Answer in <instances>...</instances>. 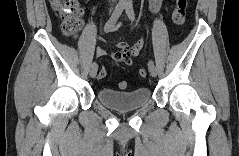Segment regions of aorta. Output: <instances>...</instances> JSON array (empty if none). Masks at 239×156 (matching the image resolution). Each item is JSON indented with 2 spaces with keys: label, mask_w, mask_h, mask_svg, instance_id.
Here are the masks:
<instances>
[{
  "label": "aorta",
  "mask_w": 239,
  "mask_h": 156,
  "mask_svg": "<svg viewBox=\"0 0 239 156\" xmlns=\"http://www.w3.org/2000/svg\"><path fill=\"white\" fill-rule=\"evenodd\" d=\"M121 2H122L124 5H131V4H132V0H121Z\"/></svg>",
  "instance_id": "762f6f07"
}]
</instances>
